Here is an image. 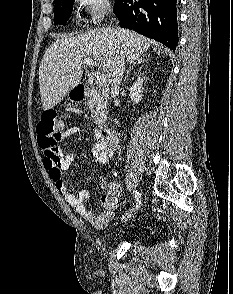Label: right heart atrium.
Returning <instances> with one entry per match:
<instances>
[{
  "instance_id": "obj_1",
  "label": "right heart atrium",
  "mask_w": 233,
  "mask_h": 294,
  "mask_svg": "<svg viewBox=\"0 0 233 294\" xmlns=\"http://www.w3.org/2000/svg\"><path fill=\"white\" fill-rule=\"evenodd\" d=\"M78 11L92 24H100L111 10L110 0H76Z\"/></svg>"
}]
</instances>
